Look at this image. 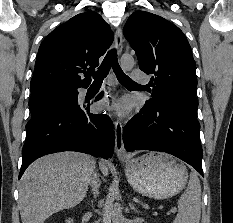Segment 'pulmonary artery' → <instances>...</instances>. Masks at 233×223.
<instances>
[{"label":"pulmonary artery","instance_id":"pulmonary-artery-1","mask_svg":"<svg viewBox=\"0 0 233 223\" xmlns=\"http://www.w3.org/2000/svg\"><path fill=\"white\" fill-rule=\"evenodd\" d=\"M130 79H148V74H145L144 70H132L130 74ZM140 81L146 82L147 80Z\"/></svg>","mask_w":233,"mask_h":223}]
</instances>
